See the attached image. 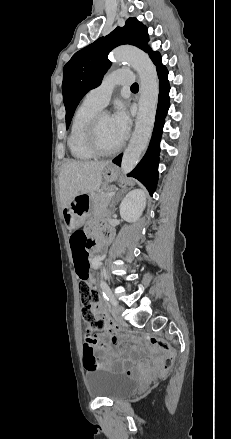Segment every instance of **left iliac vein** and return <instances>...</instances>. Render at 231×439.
<instances>
[{"mask_svg":"<svg viewBox=\"0 0 231 439\" xmlns=\"http://www.w3.org/2000/svg\"><path fill=\"white\" fill-rule=\"evenodd\" d=\"M112 305H113V306H112V308H111V313H112L114 319H115L116 321H118L119 323L123 324L124 321H123V318H122V316H121V313H122V311H123V307L120 306V305H118V304H112Z\"/></svg>","mask_w":231,"mask_h":439,"instance_id":"obj_1","label":"left iliac vein"}]
</instances>
